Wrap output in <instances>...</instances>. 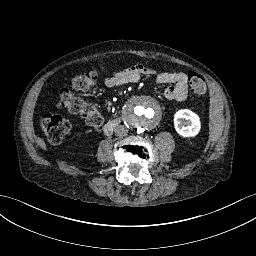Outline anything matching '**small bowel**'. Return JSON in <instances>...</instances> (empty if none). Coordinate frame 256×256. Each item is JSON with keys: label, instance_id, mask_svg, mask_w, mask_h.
Instances as JSON below:
<instances>
[{"label": "small bowel", "instance_id": "1", "mask_svg": "<svg viewBox=\"0 0 256 256\" xmlns=\"http://www.w3.org/2000/svg\"><path fill=\"white\" fill-rule=\"evenodd\" d=\"M155 71L141 65H135L113 73L107 77L104 84L108 88L121 87L129 82L137 81L141 75H152ZM159 84H172L167 87L163 94L168 100L182 101L188 94V78L179 71H167L158 73L156 76Z\"/></svg>", "mask_w": 256, "mask_h": 256}]
</instances>
